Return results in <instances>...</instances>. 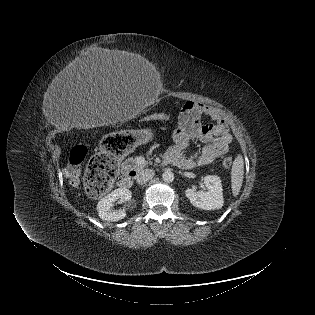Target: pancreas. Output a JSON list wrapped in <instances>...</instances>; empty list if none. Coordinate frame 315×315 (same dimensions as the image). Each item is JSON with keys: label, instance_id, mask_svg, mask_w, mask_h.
<instances>
[{"label": "pancreas", "instance_id": "obj_1", "mask_svg": "<svg viewBox=\"0 0 315 315\" xmlns=\"http://www.w3.org/2000/svg\"><path fill=\"white\" fill-rule=\"evenodd\" d=\"M137 158L138 157L129 158V159L126 160L125 164L130 163L128 168L130 170H135V171L139 172L148 164V162H145L144 164H138L137 163Z\"/></svg>", "mask_w": 315, "mask_h": 315}]
</instances>
